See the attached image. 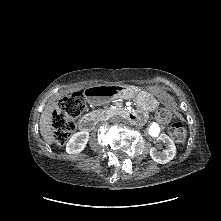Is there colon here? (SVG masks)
<instances>
[{
  "instance_id": "colon-1",
  "label": "colon",
  "mask_w": 221,
  "mask_h": 221,
  "mask_svg": "<svg viewBox=\"0 0 221 221\" xmlns=\"http://www.w3.org/2000/svg\"><path fill=\"white\" fill-rule=\"evenodd\" d=\"M85 108L86 104L82 93L65 96L59 101L53 118L54 137L59 144L63 145L70 138L76 128L75 119L85 111ZM156 118L161 123H169L171 112L162 107L157 110ZM169 134L175 142H182L185 137L183 124L172 122L169 126Z\"/></svg>"
}]
</instances>
